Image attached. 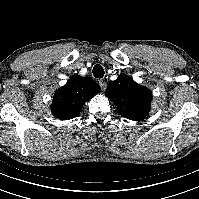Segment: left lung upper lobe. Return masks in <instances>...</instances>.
<instances>
[{
	"mask_svg": "<svg viewBox=\"0 0 199 199\" xmlns=\"http://www.w3.org/2000/svg\"><path fill=\"white\" fill-rule=\"evenodd\" d=\"M106 96L127 119L140 121L149 115L151 92L126 75L119 76L108 85Z\"/></svg>",
	"mask_w": 199,
	"mask_h": 199,
	"instance_id": "left-lung-upper-lobe-1",
	"label": "left lung upper lobe"
}]
</instances>
